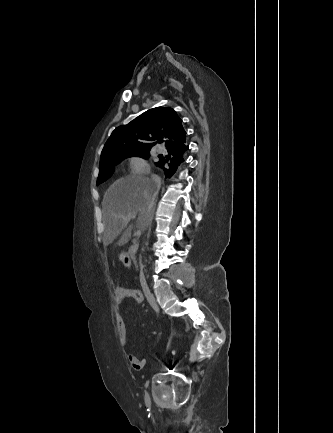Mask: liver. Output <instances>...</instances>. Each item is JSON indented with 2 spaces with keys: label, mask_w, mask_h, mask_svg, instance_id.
I'll use <instances>...</instances> for the list:
<instances>
[{
  "label": "liver",
  "mask_w": 333,
  "mask_h": 433,
  "mask_svg": "<svg viewBox=\"0 0 333 433\" xmlns=\"http://www.w3.org/2000/svg\"><path fill=\"white\" fill-rule=\"evenodd\" d=\"M154 184L143 176H130L115 181L105 192L103 208V243L111 244L118 237L119 246L131 239L133 225L125 222L129 213L138 214L136 228L145 230L154 210Z\"/></svg>",
  "instance_id": "1"
}]
</instances>
